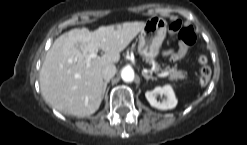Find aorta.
<instances>
[{"label":"aorta","instance_id":"762f6f07","mask_svg":"<svg viewBox=\"0 0 247 145\" xmlns=\"http://www.w3.org/2000/svg\"><path fill=\"white\" fill-rule=\"evenodd\" d=\"M121 78L124 82H132L134 80V71L130 66H126L121 70Z\"/></svg>","mask_w":247,"mask_h":145}]
</instances>
